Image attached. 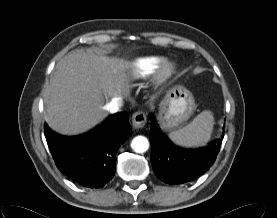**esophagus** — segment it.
Wrapping results in <instances>:
<instances>
[{
	"label": "esophagus",
	"mask_w": 277,
	"mask_h": 218,
	"mask_svg": "<svg viewBox=\"0 0 277 218\" xmlns=\"http://www.w3.org/2000/svg\"><path fill=\"white\" fill-rule=\"evenodd\" d=\"M146 123V114L143 111H137L132 115V125L134 128H142Z\"/></svg>",
	"instance_id": "34e87169"
}]
</instances>
